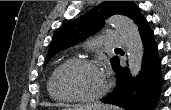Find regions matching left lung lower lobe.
Returning a JSON list of instances; mask_svg holds the SVG:
<instances>
[{
	"mask_svg": "<svg viewBox=\"0 0 171 110\" xmlns=\"http://www.w3.org/2000/svg\"><path fill=\"white\" fill-rule=\"evenodd\" d=\"M137 25L145 51L140 74L133 78L128 69L118 63L115 69L117 86L102 102L125 110H153L161 90L160 59L154 34L147 20L143 17Z\"/></svg>",
	"mask_w": 171,
	"mask_h": 110,
	"instance_id": "0a47b994",
	"label": "left lung lower lobe"
}]
</instances>
